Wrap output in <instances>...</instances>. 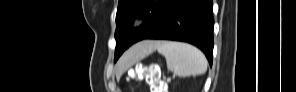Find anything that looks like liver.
Segmentation results:
<instances>
[{
    "label": "liver",
    "mask_w": 296,
    "mask_h": 92,
    "mask_svg": "<svg viewBox=\"0 0 296 92\" xmlns=\"http://www.w3.org/2000/svg\"><path fill=\"white\" fill-rule=\"evenodd\" d=\"M157 43L154 41H143L124 53L116 65V76L120 77L126 69L153 52L156 49Z\"/></svg>",
    "instance_id": "liver-1"
}]
</instances>
